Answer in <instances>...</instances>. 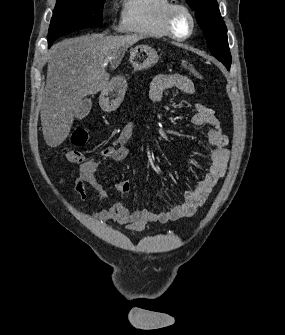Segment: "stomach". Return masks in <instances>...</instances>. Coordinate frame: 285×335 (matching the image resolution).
I'll return each mask as SVG.
<instances>
[{"label":"stomach","instance_id":"0dacf381","mask_svg":"<svg viewBox=\"0 0 285 335\" xmlns=\"http://www.w3.org/2000/svg\"><path fill=\"white\" fill-rule=\"evenodd\" d=\"M159 56L150 46H136L130 52V62L135 70H148L157 64ZM127 90L125 78H112L101 94V104H105L109 110H114L121 104Z\"/></svg>","mask_w":285,"mask_h":335}]
</instances>
